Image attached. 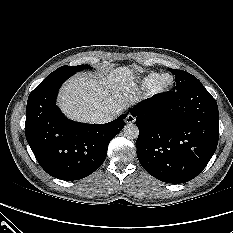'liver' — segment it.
<instances>
[{"mask_svg":"<svg viewBox=\"0 0 233 233\" xmlns=\"http://www.w3.org/2000/svg\"><path fill=\"white\" fill-rule=\"evenodd\" d=\"M140 98L133 70L124 66L112 69L104 77L77 74L61 88L58 105L69 118L92 122L94 114L116 117Z\"/></svg>","mask_w":233,"mask_h":233,"instance_id":"6515ba94","label":"liver"}]
</instances>
